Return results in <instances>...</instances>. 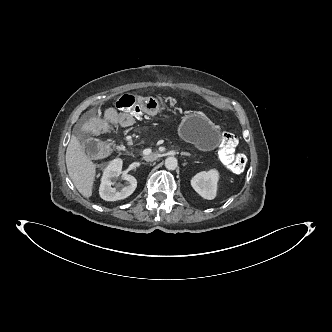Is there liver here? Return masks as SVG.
I'll return each instance as SVG.
<instances>
[{"mask_svg": "<svg viewBox=\"0 0 332 332\" xmlns=\"http://www.w3.org/2000/svg\"><path fill=\"white\" fill-rule=\"evenodd\" d=\"M65 159L69 177L77 190L84 197H91L96 175V164L87 157L75 135H72L67 146Z\"/></svg>", "mask_w": 332, "mask_h": 332, "instance_id": "liver-1", "label": "liver"}]
</instances>
